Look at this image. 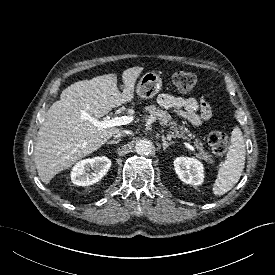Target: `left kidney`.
Returning <instances> with one entry per match:
<instances>
[{"instance_id":"obj_1","label":"left kidney","mask_w":275,"mask_h":275,"mask_svg":"<svg viewBox=\"0 0 275 275\" xmlns=\"http://www.w3.org/2000/svg\"><path fill=\"white\" fill-rule=\"evenodd\" d=\"M174 167L180 180L186 184L200 185L203 183V165L200 161L189 157H178Z\"/></svg>"}]
</instances>
